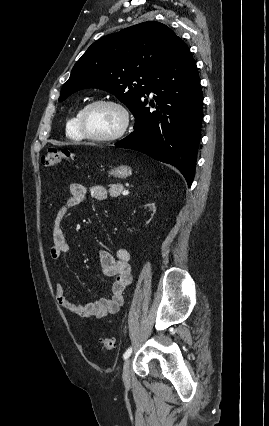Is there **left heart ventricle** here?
<instances>
[{
  "mask_svg": "<svg viewBox=\"0 0 269 426\" xmlns=\"http://www.w3.org/2000/svg\"><path fill=\"white\" fill-rule=\"evenodd\" d=\"M85 122L90 133L106 135L119 128L121 115L118 110L111 106L97 105L87 112Z\"/></svg>",
  "mask_w": 269,
  "mask_h": 426,
  "instance_id": "obj_1",
  "label": "left heart ventricle"
}]
</instances>
